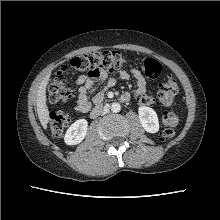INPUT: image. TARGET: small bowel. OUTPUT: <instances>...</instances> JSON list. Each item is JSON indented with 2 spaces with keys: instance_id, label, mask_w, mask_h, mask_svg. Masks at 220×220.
I'll use <instances>...</instances> for the list:
<instances>
[{
  "instance_id": "small-bowel-1",
  "label": "small bowel",
  "mask_w": 220,
  "mask_h": 220,
  "mask_svg": "<svg viewBox=\"0 0 220 220\" xmlns=\"http://www.w3.org/2000/svg\"><path fill=\"white\" fill-rule=\"evenodd\" d=\"M132 75L137 82V90L135 97L137 98L139 104L141 105H151L152 103H144V98L147 97V86L146 80L140 73V71L133 69L131 71ZM119 76L123 80H127L130 77V73L126 70H120ZM108 77L105 70L96 71L95 75H80L76 82L79 85V95L76 106V111L80 113H87L90 111L93 104L100 103L103 99L102 93H97V89ZM116 84L115 78H109L107 81L108 87H113ZM129 96V94L125 93ZM130 97V96H129Z\"/></svg>"
}]
</instances>
